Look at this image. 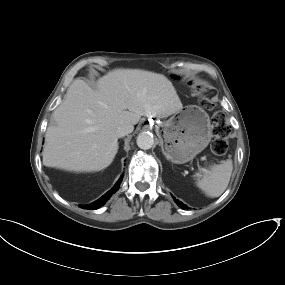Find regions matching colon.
Listing matches in <instances>:
<instances>
[{"label":"colon","mask_w":285,"mask_h":285,"mask_svg":"<svg viewBox=\"0 0 285 285\" xmlns=\"http://www.w3.org/2000/svg\"><path fill=\"white\" fill-rule=\"evenodd\" d=\"M199 104L206 110L214 109V104L206 97L200 98ZM212 123L215 137L211 143V151L213 154H223L228 147L226 135L229 132V127L226 125L224 116L219 112L212 117Z\"/></svg>","instance_id":"obj_1"}]
</instances>
